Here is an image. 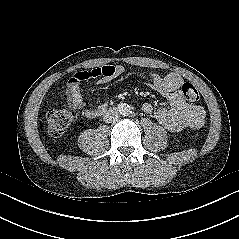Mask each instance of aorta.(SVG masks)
Wrapping results in <instances>:
<instances>
[{
	"instance_id": "762f6f07",
	"label": "aorta",
	"mask_w": 239,
	"mask_h": 239,
	"mask_svg": "<svg viewBox=\"0 0 239 239\" xmlns=\"http://www.w3.org/2000/svg\"><path fill=\"white\" fill-rule=\"evenodd\" d=\"M122 113L123 115H129L131 113L129 106H125Z\"/></svg>"
}]
</instances>
